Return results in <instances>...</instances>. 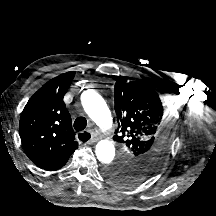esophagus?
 <instances>
[{
    "label": "esophagus",
    "mask_w": 216,
    "mask_h": 216,
    "mask_svg": "<svg viewBox=\"0 0 216 216\" xmlns=\"http://www.w3.org/2000/svg\"><path fill=\"white\" fill-rule=\"evenodd\" d=\"M84 133H87L90 135V139L88 141H86V143L90 144V143H93V142H96L98 140L97 137H95L92 133H90L89 131H83V132H79L77 133V138L80 140V136L81 134H84ZM82 141V140H81Z\"/></svg>",
    "instance_id": "obj_1"
}]
</instances>
